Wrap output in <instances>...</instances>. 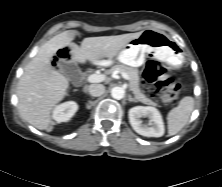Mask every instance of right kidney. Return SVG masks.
<instances>
[{"label":"right kidney","mask_w":222,"mask_h":187,"mask_svg":"<svg viewBox=\"0 0 222 187\" xmlns=\"http://www.w3.org/2000/svg\"><path fill=\"white\" fill-rule=\"evenodd\" d=\"M77 110V103L73 101L65 102L55 107L52 117L57 123L67 122Z\"/></svg>","instance_id":"right-kidney-1"}]
</instances>
